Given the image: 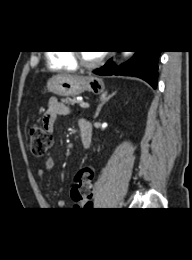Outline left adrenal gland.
<instances>
[{"label": "left adrenal gland", "instance_id": "1", "mask_svg": "<svg viewBox=\"0 0 192 260\" xmlns=\"http://www.w3.org/2000/svg\"><path fill=\"white\" fill-rule=\"evenodd\" d=\"M115 95V92L112 93L111 95H107V91H105L104 93H102L101 97H100V101L101 103L99 104V106L97 107L96 113L94 118H97L99 115V112L101 111L102 106L109 101L113 96Z\"/></svg>", "mask_w": 192, "mask_h": 260}]
</instances>
